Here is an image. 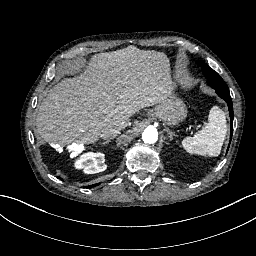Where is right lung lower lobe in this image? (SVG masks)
<instances>
[{
    "instance_id": "right-lung-lower-lobe-1",
    "label": "right lung lower lobe",
    "mask_w": 256,
    "mask_h": 256,
    "mask_svg": "<svg viewBox=\"0 0 256 256\" xmlns=\"http://www.w3.org/2000/svg\"><path fill=\"white\" fill-rule=\"evenodd\" d=\"M97 184H95V185H91V186H88V187H94V186H96Z\"/></svg>"
}]
</instances>
